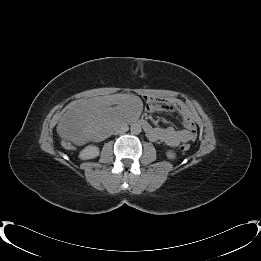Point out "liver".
I'll return each instance as SVG.
<instances>
[{
  "label": "liver",
  "instance_id": "1",
  "mask_svg": "<svg viewBox=\"0 0 261 261\" xmlns=\"http://www.w3.org/2000/svg\"><path fill=\"white\" fill-rule=\"evenodd\" d=\"M143 110L144 101L136 93L82 99L64 114L57 131L63 139L79 144L123 119L139 117Z\"/></svg>",
  "mask_w": 261,
  "mask_h": 261
}]
</instances>
